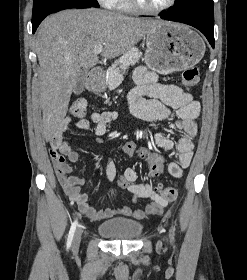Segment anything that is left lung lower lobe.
Returning a JSON list of instances; mask_svg holds the SVG:
<instances>
[{
	"label": "left lung lower lobe",
	"instance_id": "1",
	"mask_svg": "<svg viewBox=\"0 0 247 280\" xmlns=\"http://www.w3.org/2000/svg\"><path fill=\"white\" fill-rule=\"evenodd\" d=\"M162 19L181 22L191 25L200 30L214 48V13L213 11L195 10L188 12L167 11L161 16Z\"/></svg>",
	"mask_w": 247,
	"mask_h": 280
}]
</instances>
